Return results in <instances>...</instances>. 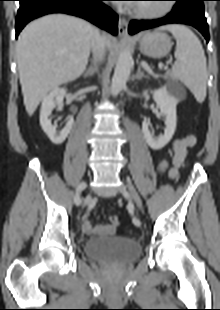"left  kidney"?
<instances>
[{
	"instance_id": "1",
	"label": "left kidney",
	"mask_w": 220,
	"mask_h": 310,
	"mask_svg": "<svg viewBox=\"0 0 220 310\" xmlns=\"http://www.w3.org/2000/svg\"><path fill=\"white\" fill-rule=\"evenodd\" d=\"M144 95H147V91H144ZM153 99L160 109V112L165 116L166 128L164 134L155 139L149 130V122L143 121L142 132L147 144L154 150L162 149L173 137L177 124L176 106L177 98L174 94L168 92L165 89H159L153 91Z\"/></svg>"
}]
</instances>
